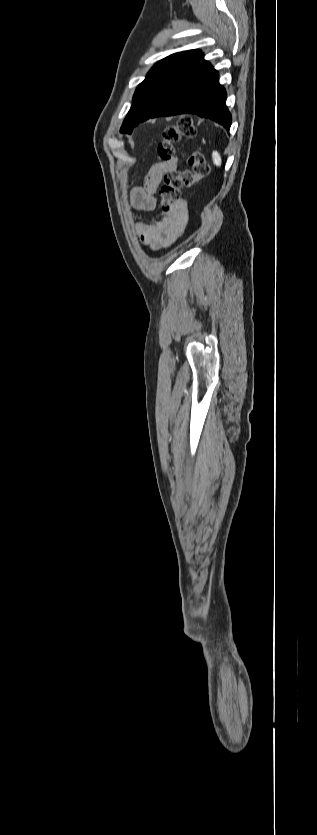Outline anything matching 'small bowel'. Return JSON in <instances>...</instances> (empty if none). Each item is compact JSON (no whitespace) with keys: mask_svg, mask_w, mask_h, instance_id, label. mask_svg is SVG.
Segmentation results:
<instances>
[{"mask_svg":"<svg viewBox=\"0 0 317 835\" xmlns=\"http://www.w3.org/2000/svg\"><path fill=\"white\" fill-rule=\"evenodd\" d=\"M177 159L156 161L147 173L143 186L135 185L129 191L132 207L143 212H152L156 208L155 194L163 176L176 171ZM187 224V211L183 203L174 207L155 224L137 223L136 231L143 245L152 250L169 247L184 232Z\"/></svg>","mask_w":317,"mask_h":835,"instance_id":"obj_1","label":"small bowel"}]
</instances>
